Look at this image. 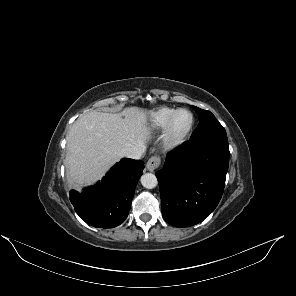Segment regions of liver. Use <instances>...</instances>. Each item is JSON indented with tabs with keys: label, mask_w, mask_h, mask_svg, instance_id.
Instances as JSON below:
<instances>
[{
	"label": "liver",
	"mask_w": 296,
	"mask_h": 296,
	"mask_svg": "<svg viewBox=\"0 0 296 296\" xmlns=\"http://www.w3.org/2000/svg\"><path fill=\"white\" fill-rule=\"evenodd\" d=\"M146 112L127 108L122 113L92 111L80 116L67 135V174L78 186L92 184L133 146L146 148L150 138Z\"/></svg>",
	"instance_id": "1"
}]
</instances>
